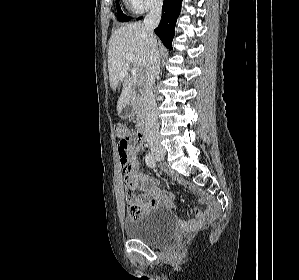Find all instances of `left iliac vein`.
I'll return each mask as SVG.
<instances>
[{
  "instance_id": "4c4485c4",
  "label": "left iliac vein",
  "mask_w": 299,
  "mask_h": 280,
  "mask_svg": "<svg viewBox=\"0 0 299 280\" xmlns=\"http://www.w3.org/2000/svg\"><path fill=\"white\" fill-rule=\"evenodd\" d=\"M156 159H157L158 161H161V160L163 159V157H157V156H156Z\"/></svg>"
}]
</instances>
